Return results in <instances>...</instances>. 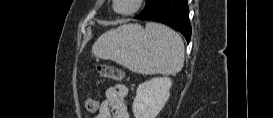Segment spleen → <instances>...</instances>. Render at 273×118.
Here are the masks:
<instances>
[{
    "mask_svg": "<svg viewBox=\"0 0 273 118\" xmlns=\"http://www.w3.org/2000/svg\"><path fill=\"white\" fill-rule=\"evenodd\" d=\"M93 54L112 60L139 74H176L184 64V43L170 28L148 22L124 24L102 34L92 47Z\"/></svg>",
    "mask_w": 273,
    "mask_h": 118,
    "instance_id": "obj_1",
    "label": "spleen"
}]
</instances>
